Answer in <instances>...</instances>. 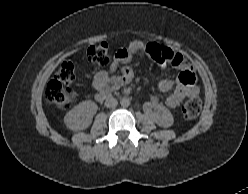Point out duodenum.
<instances>
[{
  "label": "duodenum",
  "instance_id": "duodenum-1",
  "mask_svg": "<svg viewBox=\"0 0 248 194\" xmlns=\"http://www.w3.org/2000/svg\"><path fill=\"white\" fill-rule=\"evenodd\" d=\"M111 97L110 93L108 92H99L96 96L97 100L104 101L106 99H109Z\"/></svg>",
  "mask_w": 248,
  "mask_h": 194
}]
</instances>
